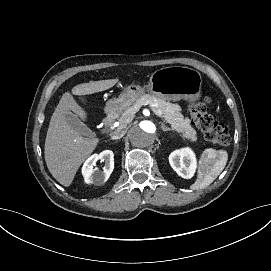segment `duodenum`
I'll return each mask as SVG.
<instances>
[{
  "instance_id": "1",
  "label": "duodenum",
  "mask_w": 271,
  "mask_h": 271,
  "mask_svg": "<svg viewBox=\"0 0 271 271\" xmlns=\"http://www.w3.org/2000/svg\"><path fill=\"white\" fill-rule=\"evenodd\" d=\"M114 119H115V111H114V110H110V111L107 113L106 121H107L108 123H111Z\"/></svg>"
}]
</instances>
